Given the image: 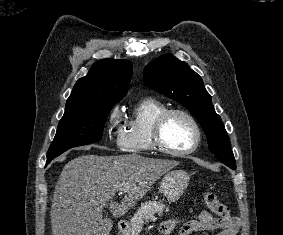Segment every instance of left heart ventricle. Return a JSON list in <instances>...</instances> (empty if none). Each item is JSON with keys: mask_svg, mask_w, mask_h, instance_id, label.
Returning a JSON list of instances; mask_svg holds the SVG:
<instances>
[{"mask_svg": "<svg viewBox=\"0 0 283 235\" xmlns=\"http://www.w3.org/2000/svg\"><path fill=\"white\" fill-rule=\"evenodd\" d=\"M164 143L173 150H185L195 141V130L190 121L182 115H172L164 124Z\"/></svg>", "mask_w": 283, "mask_h": 235, "instance_id": "left-heart-ventricle-1", "label": "left heart ventricle"}]
</instances>
